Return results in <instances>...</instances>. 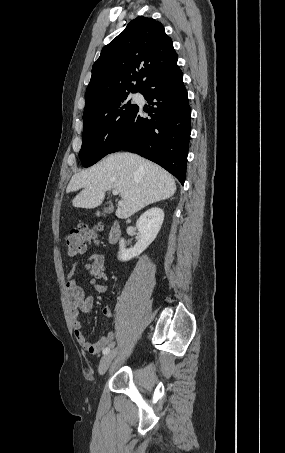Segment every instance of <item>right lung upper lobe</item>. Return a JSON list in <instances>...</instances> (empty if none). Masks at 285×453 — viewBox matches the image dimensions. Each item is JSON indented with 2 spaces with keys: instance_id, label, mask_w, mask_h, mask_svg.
Here are the masks:
<instances>
[{
  "instance_id": "1",
  "label": "right lung upper lobe",
  "mask_w": 285,
  "mask_h": 453,
  "mask_svg": "<svg viewBox=\"0 0 285 453\" xmlns=\"http://www.w3.org/2000/svg\"><path fill=\"white\" fill-rule=\"evenodd\" d=\"M176 64L177 54L163 25L137 17L102 49L94 63L84 113L129 92H141L150 79Z\"/></svg>"
}]
</instances>
